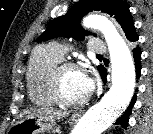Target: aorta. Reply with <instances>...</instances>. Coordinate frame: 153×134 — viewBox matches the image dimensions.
<instances>
[{
	"label": "aorta",
	"mask_w": 153,
	"mask_h": 134,
	"mask_svg": "<svg viewBox=\"0 0 153 134\" xmlns=\"http://www.w3.org/2000/svg\"><path fill=\"white\" fill-rule=\"evenodd\" d=\"M83 24L99 30L105 37L110 52L112 86L81 118L73 134H102L122 114L133 96L135 66L129 47L108 19L90 15Z\"/></svg>",
	"instance_id": "obj_1"
}]
</instances>
